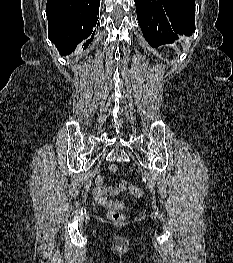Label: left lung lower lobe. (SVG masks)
I'll use <instances>...</instances> for the list:
<instances>
[{
  "instance_id": "0a47b994",
  "label": "left lung lower lobe",
  "mask_w": 233,
  "mask_h": 263,
  "mask_svg": "<svg viewBox=\"0 0 233 263\" xmlns=\"http://www.w3.org/2000/svg\"><path fill=\"white\" fill-rule=\"evenodd\" d=\"M142 33L152 47L172 43L195 31L194 0H135Z\"/></svg>"
}]
</instances>
